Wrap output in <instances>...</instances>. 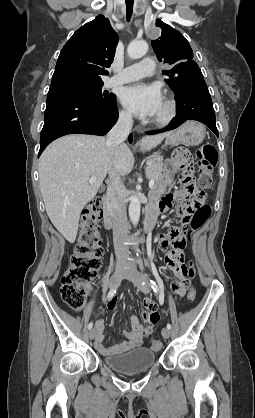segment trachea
<instances>
[{
	"label": "trachea",
	"instance_id": "1",
	"mask_svg": "<svg viewBox=\"0 0 255 418\" xmlns=\"http://www.w3.org/2000/svg\"><path fill=\"white\" fill-rule=\"evenodd\" d=\"M125 2H126V9H127L126 17H127V20L129 21L133 12L134 0H125Z\"/></svg>",
	"mask_w": 255,
	"mask_h": 418
}]
</instances>
